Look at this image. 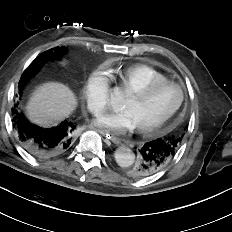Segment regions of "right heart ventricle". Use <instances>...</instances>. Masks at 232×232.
<instances>
[{
	"mask_svg": "<svg viewBox=\"0 0 232 232\" xmlns=\"http://www.w3.org/2000/svg\"><path fill=\"white\" fill-rule=\"evenodd\" d=\"M107 74L127 93L153 82L167 80L161 72L144 64H135L122 69H109Z\"/></svg>",
	"mask_w": 232,
	"mask_h": 232,
	"instance_id": "e07e8e85",
	"label": "right heart ventricle"
}]
</instances>
